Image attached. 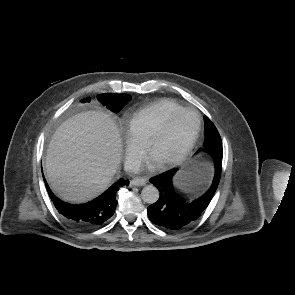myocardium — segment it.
<instances>
[{
    "label": "myocardium",
    "mask_w": 295,
    "mask_h": 295,
    "mask_svg": "<svg viewBox=\"0 0 295 295\" xmlns=\"http://www.w3.org/2000/svg\"><path fill=\"white\" fill-rule=\"evenodd\" d=\"M184 114H190L193 115L195 118V129L193 134L191 135L189 141L185 145V147L182 149V151L175 156L174 158L164 161L158 165L160 169H166L173 166H176L183 162L192 152L194 149L196 142L199 138L200 130H201V120L199 115L192 109L183 108L174 114H172L165 122L164 124L154 133V135L149 139V141L146 144V151L149 156H151L152 150L154 147L158 144V142L165 136V134L169 131L171 128L173 122L181 115Z\"/></svg>",
    "instance_id": "1"
}]
</instances>
